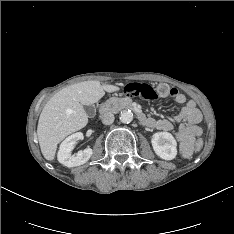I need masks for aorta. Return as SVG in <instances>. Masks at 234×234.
Returning a JSON list of instances; mask_svg holds the SVG:
<instances>
[{
	"mask_svg": "<svg viewBox=\"0 0 234 234\" xmlns=\"http://www.w3.org/2000/svg\"><path fill=\"white\" fill-rule=\"evenodd\" d=\"M133 120V113L131 110H123L120 114V121L122 123H130Z\"/></svg>",
	"mask_w": 234,
	"mask_h": 234,
	"instance_id": "1",
	"label": "aorta"
}]
</instances>
